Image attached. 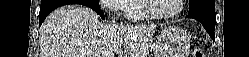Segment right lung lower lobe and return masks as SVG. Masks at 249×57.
I'll use <instances>...</instances> for the list:
<instances>
[{"instance_id": "right-lung-lower-lobe-1", "label": "right lung lower lobe", "mask_w": 249, "mask_h": 57, "mask_svg": "<svg viewBox=\"0 0 249 57\" xmlns=\"http://www.w3.org/2000/svg\"><path fill=\"white\" fill-rule=\"evenodd\" d=\"M67 4H82L88 6L95 10L102 19H105L104 13L101 9L92 7L91 5L86 4L83 0H42L39 13V26L54 9Z\"/></svg>"}]
</instances>
